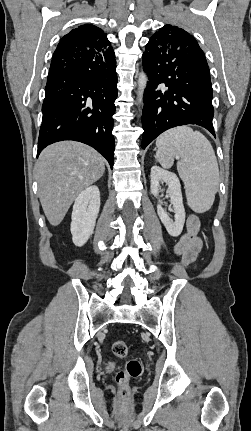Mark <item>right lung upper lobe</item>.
I'll list each match as a JSON object with an SVG mask.
<instances>
[{"instance_id":"right-lung-upper-lobe-1","label":"right lung upper lobe","mask_w":251,"mask_h":431,"mask_svg":"<svg viewBox=\"0 0 251 431\" xmlns=\"http://www.w3.org/2000/svg\"><path fill=\"white\" fill-rule=\"evenodd\" d=\"M90 49L99 52L106 60L115 57L107 35L103 30L91 24L81 25L66 34L56 50L75 54Z\"/></svg>"}]
</instances>
